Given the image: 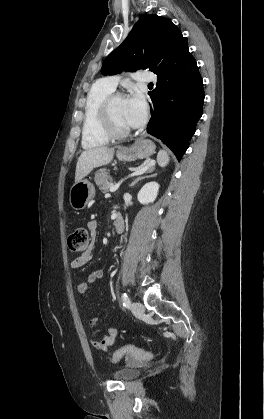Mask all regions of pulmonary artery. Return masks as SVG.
Returning a JSON list of instances; mask_svg holds the SVG:
<instances>
[{"label":"pulmonary artery","mask_w":264,"mask_h":419,"mask_svg":"<svg viewBox=\"0 0 264 419\" xmlns=\"http://www.w3.org/2000/svg\"><path fill=\"white\" fill-rule=\"evenodd\" d=\"M135 79L141 82H154L156 81V76L154 73L141 70L137 71L134 75ZM119 77L118 76H108L102 80V82L112 90L118 85Z\"/></svg>","instance_id":"obj_1"}]
</instances>
